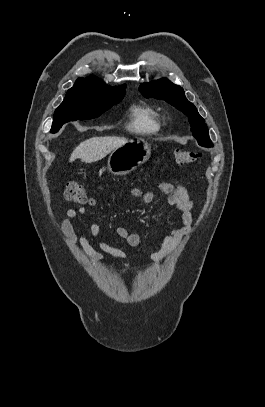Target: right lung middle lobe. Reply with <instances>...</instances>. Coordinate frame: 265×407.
<instances>
[{
	"mask_svg": "<svg viewBox=\"0 0 265 407\" xmlns=\"http://www.w3.org/2000/svg\"><path fill=\"white\" fill-rule=\"evenodd\" d=\"M125 86L112 88L89 82H75L64 101L55 110L51 132L56 133L64 123L96 118L121 101Z\"/></svg>",
	"mask_w": 265,
	"mask_h": 407,
	"instance_id": "1",
	"label": "right lung middle lobe"
}]
</instances>
